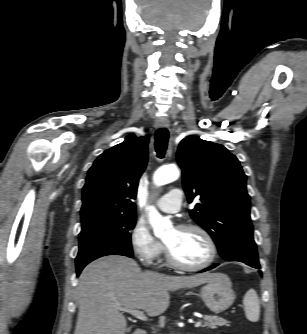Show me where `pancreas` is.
Segmentation results:
<instances>
[{
	"label": "pancreas",
	"mask_w": 307,
	"mask_h": 334,
	"mask_svg": "<svg viewBox=\"0 0 307 334\" xmlns=\"http://www.w3.org/2000/svg\"><path fill=\"white\" fill-rule=\"evenodd\" d=\"M204 327H208L211 329H215L218 326H229V321H227L226 319H223L221 317L218 316H211V315H206L204 317Z\"/></svg>",
	"instance_id": "pancreas-1"
}]
</instances>
